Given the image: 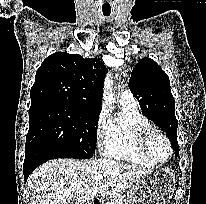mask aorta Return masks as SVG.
<instances>
[{
  "mask_svg": "<svg viewBox=\"0 0 206 204\" xmlns=\"http://www.w3.org/2000/svg\"><path fill=\"white\" fill-rule=\"evenodd\" d=\"M113 77L111 73H108L105 77L103 84V100L107 105H111L114 102V94L112 92Z\"/></svg>",
  "mask_w": 206,
  "mask_h": 204,
  "instance_id": "obj_1",
  "label": "aorta"
}]
</instances>
